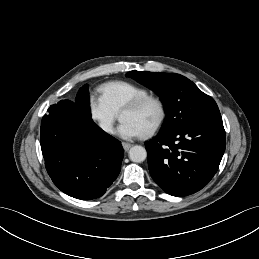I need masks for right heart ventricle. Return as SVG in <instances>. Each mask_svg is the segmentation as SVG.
<instances>
[{"label": "right heart ventricle", "mask_w": 259, "mask_h": 259, "mask_svg": "<svg viewBox=\"0 0 259 259\" xmlns=\"http://www.w3.org/2000/svg\"><path fill=\"white\" fill-rule=\"evenodd\" d=\"M102 97L110 107L119 113L124 105L131 100L149 95V92L136 84L127 81H112L100 87Z\"/></svg>", "instance_id": "1"}]
</instances>
